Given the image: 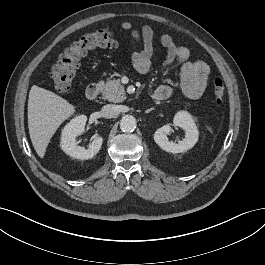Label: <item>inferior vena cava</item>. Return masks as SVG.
I'll return each instance as SVG.
<instances>
[{
    "label": "inferior vena cava",
    "mask_w": 265,
    "mask_h": 265,
    "mask_svg": "<svg viewBox=\"0 0 265 265\" xmlns=\"http://www.w3.org/2000/svg\"><path fill=\"white\" fill-rule=\"evenodd\" d=\"M119 113L117 105L107 104L102 107L101 114L104 118H113Z\"/></svg>",
    "instance_id": "1"
}]
</instances>
